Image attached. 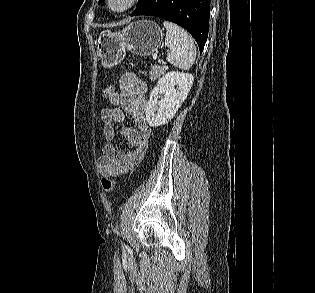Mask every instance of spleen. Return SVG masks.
Segmentation results:
<instances>
[{
    "label": "spleen",
    "mask_w": 315,
    "mask_h": 293,
    "mask_svg": "<svg viewBox=\"0 0 315 293\" xmlns=\"http://www.w3.org/2000/svg\"><path fill=\"white\" fill-rule=\"evenodd\" d=\"M166 28L165 45L169 47L167 61L174 67L188 70L196 58V47L193 38L175 23L164 21Z\"/></svg>",
    "instance_id": "spleen-1"
}]
</instances>
